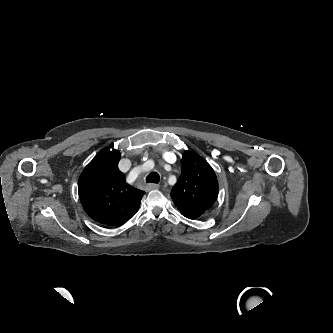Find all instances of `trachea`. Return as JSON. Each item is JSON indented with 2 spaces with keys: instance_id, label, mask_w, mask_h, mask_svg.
Segmentation results:
<instances>
[{
  "instance_id": "1",
  "label": "trachea",
  "mask_w": 333,
  "mask_h": 333,
  "mask_svg": "<svg viewBox=\"0 0 333 333\" xmlns=\"http://www.w3.org/2000/svg\"><path fill=\"white\" fill-rule=\"evenodd\" d=\"M159 180H160V177L157 172H152L146 177L147 183H158Z\"/></svg>"
}]
</instances>
